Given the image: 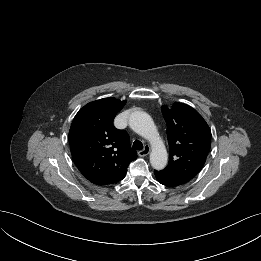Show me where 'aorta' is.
<instances>
[{
  "label": "aorta",
  "instance_id": "obj_1",
  "mask_svg": "<svg viewBox=\"0 0 261 261\" xmlns=\"http://www.w3.org/2000/svg\"><path fill=\"white\" fill-rule=\"evenodd\" d=\"M129 126L134 132L150 142L152 167L156 170L165 168L168 162L167 150L151 116L143 111L132 112L129 117Z\"/></svg>",
  "mask_w": 261,
  "mask_h": 261
}]
</instances>
